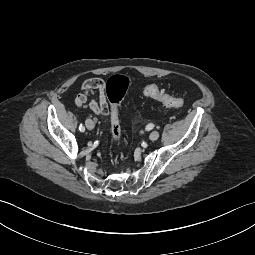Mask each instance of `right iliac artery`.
Wrapping results in <instances>:
<instances>
[{
    "label": "right iliac artery",
    "mask_w": 255,
    "mask_h": 255,
    "mask_svg": "<svg viewBox=\"0 0 255 255\" xmlns=\"http://www.w3.org/2000/svg\"><path fill=\"white\" fill-rule=\"evenodd\" d=\"M79 130H80L81 132H84V131H85V127H84L82 124H80Z\"/></svg>",
    "instance_id": "1"
}]
</instances>
